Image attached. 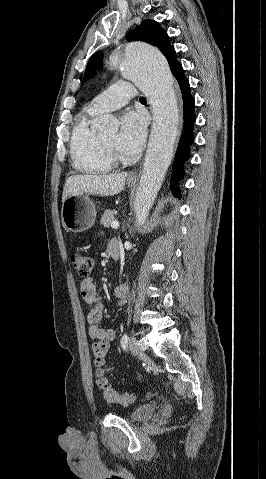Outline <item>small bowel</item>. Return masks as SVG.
I'll return each mask as SVG.
<instances>
[{"instance_id": "obj_1", "label": "small bowel", "mask_w": 266, "mask_h": 479, "mask_svg": "<svg viewBox=\"0 0 266 479\" xmlns=\"http://www.w3.org/2000/svg\"><path fill=\"white\" fill-rule=\"evenodd\" d=\"M80 292L84 301L89 306L87 321L89 323L88 333L92 339L113 341L117 336V329L103 328L99 325L103 317V303L101 296L97 290L96 283L93 278H85L81 281ZM116 296L119 298V304L125 305L128 297L127 285L117 287Z\"/></svg>"}]
</instances>
